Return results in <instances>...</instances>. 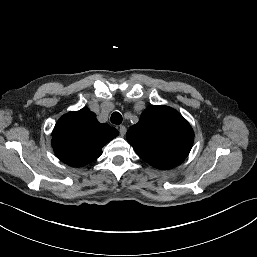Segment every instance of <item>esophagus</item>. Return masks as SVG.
Listing matches in <instances>:
<instances>
[{"label":"esophagus","mask_w":257,"mask_h":257,"mask_svg":"<svg viewBox=\"0 0 257 257\" xmlns=\"http://www.w3.org/2000/svg\"><path fill=\"white\" fill-rule=\"evenodd\" d=\"M126 131H127V129H126V127L124 125H121L119 127V133H120L121 136H124Z\"/></svg>","instance_id":"obj_1"}]
</instances>
